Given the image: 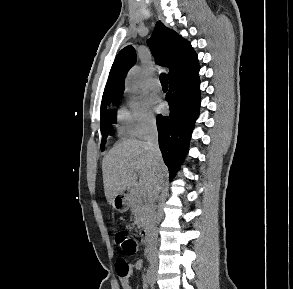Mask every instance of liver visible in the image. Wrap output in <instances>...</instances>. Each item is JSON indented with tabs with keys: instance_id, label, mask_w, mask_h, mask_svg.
Returning a JSON list of instances; mask_svg holds the SVG:
<instances>
[{
	"instance_id": "obj_1",
	"label": "liver",
	"mask_w": 293,
	"mask_h": 289,
	"mask_svg": "<svg viewBox=\"0 0 293 289\" xmlns=\"http://www.w3.org/2000/svg\"><path fill=\"white\" fill-rule=\"evenodd\" d=\"M163 174L166 166L160 162ZM105 197L111 203L114 196L138 185L148 192L155 176L154 158L144 141L128 139L112 148L102 161Z\"/></svg>"
}]
</instances>
